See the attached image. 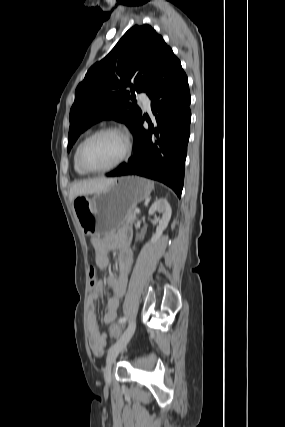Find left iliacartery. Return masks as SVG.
I'll list each match as a JSON object with an SVG mask.
<instances>
[{"label":"left iliac artery","mask_w":285,"mask_h":427,"mask_svg":"<svg viewBox=\"0 0 285 427\" xmlns=\"http://www.w3.org/2000/svg\"><path fill=\"white\" fill-rule=\"evenodd\" d=\"M126 320H127V317H122L119 319V323L123 324L126 322Z\"/></svg>","instance_id":"44dca946"}]
</instances>
